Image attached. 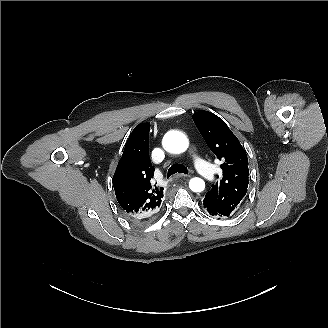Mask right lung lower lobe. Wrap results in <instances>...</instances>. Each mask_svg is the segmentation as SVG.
Listing matches in <instances>:
<instances>
[{
	"label": "right lung lower lobe",
	"instance_id": "obj_1",
	"mask_svg": "<svg viewBox=\"0 0 328 328\" xmlns=\"http://www.w3.org/2000/svg\"><path fill=\"white\" fill-rule=\"evenodd\" d=\"M129 217V216H128ZM131 220H134L135 221V219H133V218H131V217H129Z\"/></svg>",
	"mask_w": 328,
	"mask_h": 328
}]
</instances>
